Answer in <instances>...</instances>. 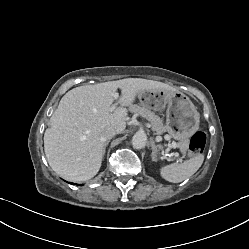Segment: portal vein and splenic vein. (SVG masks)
<instances>
[{
	"mask_svg": "<svg viewBox=\"0 0 249 249\" xmlns=\"http://www.w3.org/2000/svg\"><path fill=\"white\" fill-rule=\"evenodd\" d=\"M114 98H115V99L118 98V94H117V93L114 95ZM115 108H116V105H113V106L111 107L112 110H114ZM171 147L174 148V149H176V148H177L176 142H172ZM174 155H175L176 157H178L179 154H178L177 152H175Z\"/></svg>",
	"mask_w": 249,
	"mask_h": 249,
	"instance_id": "portal-vein-and-splenic-vein-1",
	"label": "portal vein and splenic vein"
}]
</instances>
